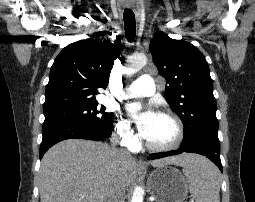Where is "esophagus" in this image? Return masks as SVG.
<instances>
[{
    "label": "esophagus",
    "mask_w": 255,
    "mask_h": 202,
    "mask_svg": "<svg viewBox=\"0 0 255 202\" xmlns=\"http://www.w3.org/2000/svg\"><path fill=\"white\" fill-rule=\"evenodd\" d=\"M137 166H138L139 168H144V167H145V165H144L142 159H138V160H137Z\"/></svg>",
    "instance_id": "esophagus-1"
}]
</instances>
